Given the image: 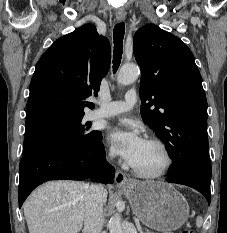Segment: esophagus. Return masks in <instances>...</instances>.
I'll list each match as a JSON object with an SVG mask.
<instances>
[{
    "label": "esophagus",
    "mask_w": 227,
    "mask_h": 233,
    "mask_svg": "<svg viewBox=\"0 0 227 233\" xmlns=\"http://www.w3.org/2000/svg\"><path fill=\"white\" fill-rule=\"evenodd\" d=\"M125 15L126 14H125L124 10H122V9L117 10L116 14H115L116 20L118 22L124 21ZM115 183L117 184V186H120V187L121 186H128V185L131 184V182L128 180V178L126 177V175L122 171H120V170H118L116 172V174H115Z\"/></svg>",
    "instance_id": "34e87169"
}]
</instances>
